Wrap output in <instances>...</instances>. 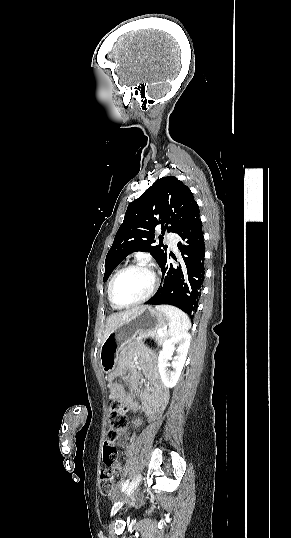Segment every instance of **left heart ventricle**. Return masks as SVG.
Wrapping results in <instances>:
<instances>
[{"instance_id": "obj_1", "label": "left heart ventricle", "mask_w": 291, "mask_h": 538, "mask_svg": "<svg viewBox=\"0 0 291 538\" xmlns=\"http://www.w3.org/2000/svg\"><path fill=\"white\" fill-rule=\"evenodd\" d=\"M152 285L150 273L134 269L123 273L114 286V299L118 304L129 303L140 299Z\"/></svg>"}]
</instances>
